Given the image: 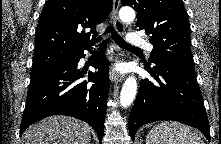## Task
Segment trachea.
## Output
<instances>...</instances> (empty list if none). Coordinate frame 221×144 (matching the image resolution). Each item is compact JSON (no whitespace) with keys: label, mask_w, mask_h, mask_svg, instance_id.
Segmentation results:
<instances>
[{"label":"trachea","mask_w":221,"mask_h":144,"mask_svg":"<svg viewBox=\"0 0 221 144\" xmlns=\"http://www.w3.org/2000/svg\"><path fill=\"white\" fill-rule=\"evenodd\" d=\"M107 33L111 34L112 39L115 41V43L125 49H132V50H141L140 48L131 46L130 44H128L127 42H125V40L115 31V29L113 28V26H109L107 29Z\"/></svg>","instance_id":"3493384b"}]
</instances>
